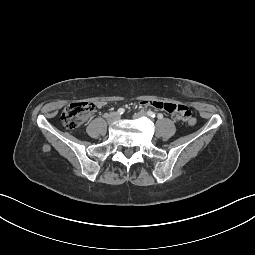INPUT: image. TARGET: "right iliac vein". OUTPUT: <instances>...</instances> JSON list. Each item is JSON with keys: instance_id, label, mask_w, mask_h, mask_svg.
Wrapping results in <instances>:
<instances>
[{"instance_id": "63e3f726", "label": "right iliac vein", "mask_w": 255, "mask_h": 255, "mask_svg": "<svg viewBox=\"0 0 255 255\" xmlns=\"http://www.w3.org/2000/svg\"><path fill=\"white\" fill-rule=\"evenodd\" d=\"M119 118H120V115H119L117 112H112V113H110V115L108 116L107 121H108L109 124H113V123H115L116 121H118Z\"/></svg>"}]
</instances>
